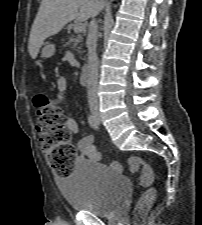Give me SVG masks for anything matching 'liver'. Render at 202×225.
<instances>
[{
	"label": "liver",
	"mask_w": 202,
	"mask_h": 225,
	"mask_svg": "<svg viewBox=\"0 0 202 225\" xmlns=\"http://www.w3.org/2000/svg\"><path fill=\"white\" fill-rule=\"evenodd\" d=\"M104 7L103 0H42L30 32L28 50L32 59L38 55L44 40L60 32L76 19L86 21Z\"/></svg>",
	"instance_id": "1"
}]
</instances>
